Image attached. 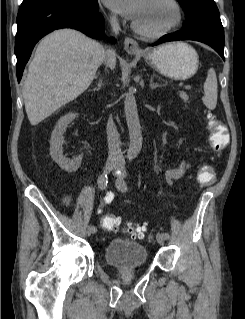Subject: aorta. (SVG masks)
Masks as SVG:
<instances>
[{
  "mask_svg": "<svg viewBox=\"0 0 245 319\" xmlns=\"http://www.w3.org/2000/svg\"><path fill=\"white\" fill-rule=\"evenodd\" d=\"M124 111L130 137L127 157L129 159H134L137 157L142 148V133L136 100L132 89H129V91L125 94Z\"/></svg>",
  "mask_w": 245,
  "mask_h": 319,
  "instance_id": "obj_1",
  "label": "aorta"
}]
</instances>
